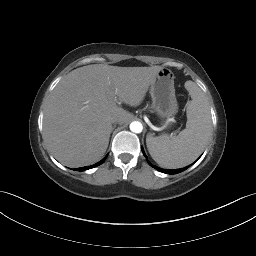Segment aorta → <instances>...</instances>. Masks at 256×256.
<instances>
[{
  "mask_svg": "<svg viewBox=\"0 0 256 256\" xmlns=\"http://www.w3.org/2000/svg\"><path fill=\"white\" fill-rule=\"evenodd\" d=\"M130 130L134 133H141L142 130H143V126L140 122L138 121H133L131 124H130Z\"/></svg>",
  "mask_w": 256,
  "mask_h": 256,
  "instance_id": "762f6f07",
  "label": "aorta"
}]
</instances>
